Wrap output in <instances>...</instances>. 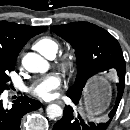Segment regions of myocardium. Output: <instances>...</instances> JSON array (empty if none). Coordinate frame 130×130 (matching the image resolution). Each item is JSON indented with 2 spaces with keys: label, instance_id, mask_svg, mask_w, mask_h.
Listing matches in <instances>:
<instances>
[{
  "label": "myocardium",
  "instance_id": "obj_1",
  "mask_svg": "<svg viewBox=\"0 0 130 130\" xmlns=\"http://www.w3.org/2000/svg\"><path fill=\"white\" fill-rule=\"evenodd\" d=\"M75 62L76 54L72 49H67L60 53L58 65L63 71L70 72L74 68Z\"/></svg>",
  "mask_w": 130,
  "mask_h": 130
}]
</instances>
